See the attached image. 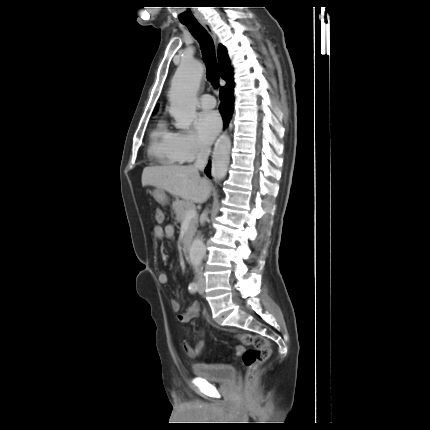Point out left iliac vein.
<instances>
[{
  "label": "left iliac vein",
  "instance_id": "obj_1",
  "mask_svg": "<svg viewBox=\"0 0 430 430\" xmlns=\"http://www.w3.org/2000/svg\"><path fill=\"white\" fill-rule=\"evenodd\" d=\"M205 290V280L201 278L198 282V293L203 295Z\"/></svg>",
  "mask_w": 430,
  "mask_h": 430
}]
</instances>
